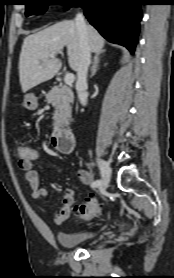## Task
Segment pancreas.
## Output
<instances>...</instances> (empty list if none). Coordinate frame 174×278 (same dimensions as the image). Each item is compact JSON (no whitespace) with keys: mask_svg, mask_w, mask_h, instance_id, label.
Segmentation results:
<instances>
[{"mask_svg":"<svg viewBox=\"0 0 174 278\" xmlns=\"http://www.w3.org/2000/svg\"><path fill=\"white\" fill-rule=\"evenodd\" d=\"M46 102L55 109L53 120L55 124L64 125L71 118V104L74 100L72 90L65 86H55L46 95Z\"/></svg>","mask_w":174,"mask_h":278,"instance_id":"1","label":"pancreas"}]
</instances>
